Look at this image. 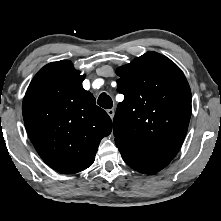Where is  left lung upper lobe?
<instances>
[{
	"label": "left lung upper lobe",
	"instance_id": "1",
	"mask_svg": "<svg viewBox=\"0 0 221 221\" xmlns=\"http://www.w3.org/2000/svg\"><path fill=\"white\" fill-rule=\"evenodd\" d=\"M119 93L115 143L141 156L170 162L179 151L191 116V91L181 69L167 57L147 52L117 68Z\"/></svg>",
	"mask_w": 221,
	"mask_h": 221
}]
</instances>
